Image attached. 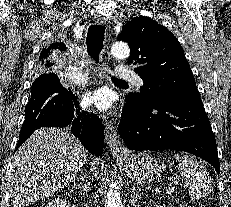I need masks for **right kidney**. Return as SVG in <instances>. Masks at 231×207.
I'll return each mask as SVG.
<instances>
[{
  "instance_id": "ca27d5eb",
  "label": "right kidney",
  "mask_w": 231,
  "mask_h": 207,
  "mask_svg": "<svg viewBox=\"0 0 231 207\" xmlns=\"http://www.w3.org/2000/svg\"><path fill=\"white\" fill-rule=\"evenodd\" d=\"M70 203L66 199L55 198L48 202L45 207H69Z\"/></svg>"
}]
</instances>
